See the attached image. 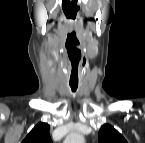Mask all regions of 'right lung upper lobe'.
Returning a JSON list of instances; mask_svg holds the SVG:
<instances>
[{"label": "right lung upper lobe", "mask_w": 145, "mask_h": 143, "mask_svg": "<svg viewBox=\"0 0 145 143\" xmlns=\"http://www.w3.org/2000/svg\"><path fill=\"white\" fill-rule=\"evenodd\" d=\"M50 126L47 123H38L26 136L22 143H52L49 135Z\"/></svg>", "instance_id": "cb5924a9"}]
</instances>
